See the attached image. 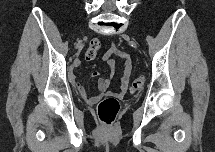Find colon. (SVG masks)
I'll return each mask as SVG.
<instances>
[{
  "label": "colon",
  "instance_id": "colon-1",
  "mask_svg": "<svg viewBox=\"0 0 215 152\" xmlns=\"http://www.w3.org/2000/svg\"><path fill=\"white\" fill-rule=\"evenodd\" d=\"M101 43L99 39L93 38L90 41L89 47L85 53V58L88 61H92L96 57V52L99 49ZM144 83V77L143 76H138L133 80L130 86V92L131 93H136L138 92L142 85ZM120 111V102L117 98L109 96L103 98L97 106V114L99 119L107 125L112 124L118 113Z\"/></svg>",
  "mask_w": 215,
  "mask_h": 152
}]
</instances>
